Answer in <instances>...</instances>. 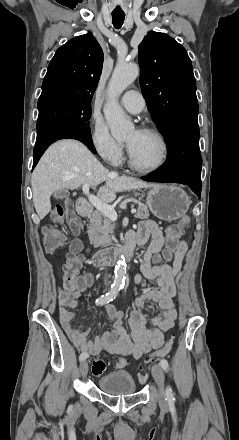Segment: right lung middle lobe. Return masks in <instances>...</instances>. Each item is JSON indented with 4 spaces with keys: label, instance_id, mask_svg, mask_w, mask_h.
<instances>
[{
    "label": "right lung middle lobe",
    "instance_id": "1",
    "mask_svg": "<svg viewBox=\"0 0 239 440\" xmlns=\"http://www.w3.org/2000/svg\"><path fill=\"white\" fill-rule=\"evenodd\" d=\"M36 129L49 124H66L90 131V101L74 98H52L38 103Z\"/></svg>",
    "mask_w": 239,
    "mask_h": 440
}]
</instances>
